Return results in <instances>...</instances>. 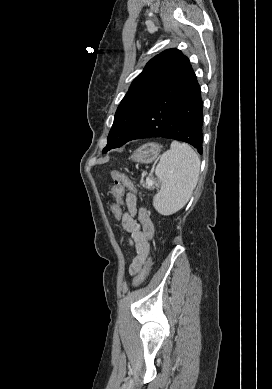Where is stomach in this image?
<instances>
[{
  "mask_svg": "<svg viewBox=\"0 0 272 389\" xmlns=\"http://www.w3.org/2000/svg\"><path fill=\"white\" fill-rule=\"evenodd\" d=\"M161 148L162 146L157 143H147L136 149L130 159L140 163H151L158 158Z\"/></svg>",
  "mask_w": 272,
  "mask_h": 389,
  "instance_id": "obj_1",
  "label": "stomach"
}]
</instances>
